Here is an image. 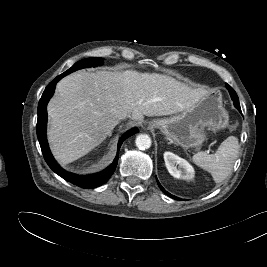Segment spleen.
<instances>
[{
    "label": "spleen",
    "instance_id": "obj_1",
    "mask_svg": "<svg viewBox=\"0 0 267 267\" xmlns=\"http://www.w3.org/2000/svg\"><path fill=\"white\" fill-rule=\"evenodd\" d=\"M238 152V139L229 136L214 154L200 151L193 155L192 160L198 167L209 172L216 183H220L231 174Z\"/></svg>",
    "mask_w": 267,
    "mask_h": 267
}]
</instances>
